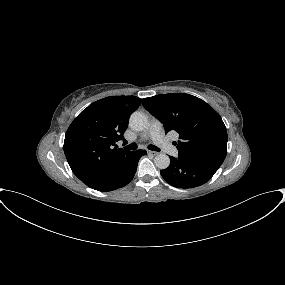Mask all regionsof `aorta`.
I'll list each match as a JSON object with an SVG mask.
<instances>
[{"mask_svg":"<svg viewBox=\"0 0 285 285\" xmlns=\"http://www.w3.org/2000/svg\"><path fill=\"white\" fill-rule=\"evenodd\" d=\"M148 123L147 116L139 111H136L131 114L129 119V125L135 131H142L146 128ZM155 166L159 169H166L170 165V158L164 153H160L154 158Z\"/></svg>","mask_w":285,"mask_h":285,"instance_id":"aorta-1","label":"aorta"}]
</instances>
